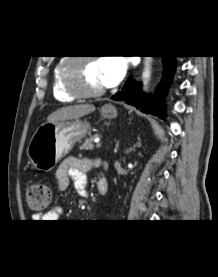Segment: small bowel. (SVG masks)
<instances>
[{
  "label": "small bowel",
  "instance_id": "c3829d8e",
  "mask_svg": "<svg viewBox=\"0 0 218 277\" xmlns=\"http://www.w3.org/2000/svg\"><path fill=\"white\" fill-rule=\"evenodd\" d=\"M97 160L87 158L69 157L65 159L56 171V180L58 187L64 190L69 185L70 181L73 182L74 188L77 193L83 197H87V173L100 165ZM63 214L61 206L54 207L44 214H35L34 218L37 222H55Z\"/></svg>",
  "mask_w": 218,
  "mask_h": 277
}]
</instances>
